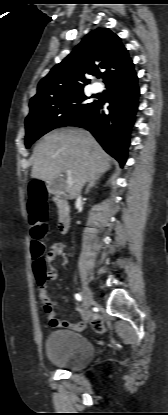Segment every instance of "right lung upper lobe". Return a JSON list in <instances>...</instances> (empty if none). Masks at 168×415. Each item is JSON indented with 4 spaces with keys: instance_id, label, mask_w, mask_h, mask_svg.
Returning a JSON list of instances; mask_svg holds the SVG:
<instances>
[{
    "instance_id": "1",
    "label": "right lung upper lobe",
    "mask_w": 168,
    "mask_h": 415,
    "mask_svg": "<svg viewBox=\"0 0 168 415\" xmlns=\"http://www.w3.org/2000/svg\"><path fill=\"white\" fill-rule=\"evenodd\" d=\"M120 38L107 28L88 33L74 50L38 84L37 94L30 100V109L75 92L88 84L87 75L104 69V83L132 65Z\"/></svg>"
}]
</instances>
